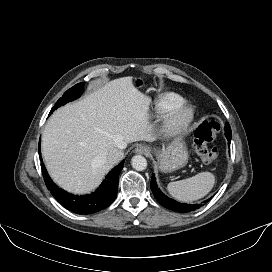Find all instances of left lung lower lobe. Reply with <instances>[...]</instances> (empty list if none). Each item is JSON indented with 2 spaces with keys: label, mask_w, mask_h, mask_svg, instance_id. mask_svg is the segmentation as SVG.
Masks as SVG:
<instances>
[{
  "label": "left lung lower lobe",
  "mask_w": 272,
  "mask_h": 272,
  "mask_svg": "<svg viewBox=\"0 0 272 272\" xmlns=\"http://www.w3.org/2000/svg\"><path fill=\"white\" fill-rule=\"evenodd\" d=\"M225 135L227 137L228 145L230 147V142H231V128L230 127L227 130H225ZM150 186H151V190H152L156 200L165 208H168L173 211L192 212V211L199 209L203 204H205L209 201V199H208V200H205L201 204H183V203H179L173 199H170L160 191V189L158 188V186L156 184L154 175L151 178Z\"/></svg>",
  "instance_id": "0a47b994"
}]
</instances>
